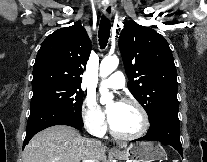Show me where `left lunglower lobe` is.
Listing matches in <instances>:
<instances>
[{
	"instance_id": "left-lung-lower-lobe-1",
	"label": "left lung lower lobe",
	"mask_w": 207,
	"mask_h": 162,
	"mask_svg": "<svg viewBox=\"0 0 207 162\" xmlns=\"http://www.w3.org/2000/svg\"><path fill=\"white\" fill-rule=\"evenodd\" d=\"M150 124L148 133L135 141H159L164 145H171L183 157L178 110L161 111L150 121Z\"/></svg>"
}]
</instances>
